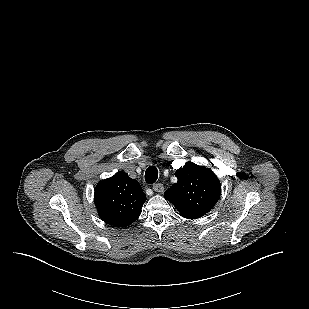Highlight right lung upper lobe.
I'll list each match as a JSON object with an SVG mask.
<instances>
[{
  "mask_svg": "<svg viewBox=\"0 0 309 309\" xmlns=\"http://www.w3.org/2000/svg\"><path fill=\"white\" fill-rule=\"evenodd\" d=\"M94 200L104 222L115 227H127L140 216L146 196L135 179L119 171L98 183Z\"/></svg>",
  "mask_w": 309,
  "mask_h": 309,
  "instance_id": "1",
  "label": "right lung upper lobe"
}]
</instances>
